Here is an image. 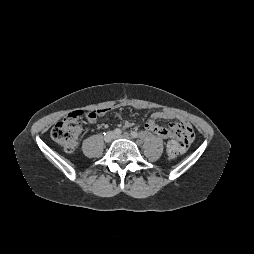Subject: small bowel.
<instances>
[{
	"label": "small bowel",
	"mask_w": 254,
	"mask_h": 254,
	"mask_svg": "<svg viewBox=\"0 0 254 254\" xmlns=\"http://www.w3.org/2000/svg\"><path fill=\"white\" fill-rule=\"evenodd\" d=\"M107 110L108 109H99L98 116L104 115L107 112ZM172 118H174V114L168 110L157 111V112H154L151 115V117L147 119L145 123V127L147 130L153 132L158 137L164 140L176 139V141H178L181 145V154H182L186 151L190 142L192 141L193 131L184 119H179L178 122L171 123L169 127H163L156 123L157 120L172 119ZM87 120L89 123L93 124L96 121V117L91 118L87 116ZM124 125L125 127H131L133 123L131 121H126ZM180 126L189 127L191 132L185 136L179 135L177 132V129Z\"/></svg>",
	"instance_id": "small-bowel-1"
}]
</instances>
